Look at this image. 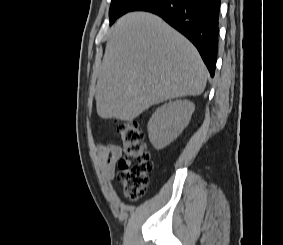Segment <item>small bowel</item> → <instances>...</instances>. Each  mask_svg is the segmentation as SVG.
I'll list each match as a JSON object with an SVG mask.
<instances>
[{"label": "small bowel", "instance_id": "c3829d8e", "mask_svg": "<svg viewBox=\"0 0 283 245\" xmlns=\"http://www.w3.org/2000/svg\"><path fill=\"white\" fill-rule=\"evenodd\" d=\"M97 154L105 177L112 179L115 176L116 165L122 154L121 147L116 144H98Z\"/></svg>", "mask_w": 283, "mask_h": 245}]
</instances>
